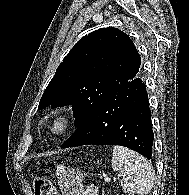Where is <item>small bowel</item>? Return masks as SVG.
Instances as JSON below:
<instances>
[{
	"label": "small bowel",
	"mask_w": 189,
	"mask_h": 195,
	"mask_svg": "<svg viewBox=\"0 0 189 195\" xmlns=\"http://www.w3.org/2000/svg\"><path fill=\"white\" fill-rule=\"evenodd\" d=\"M85 195H99V191L95 186H89L85 190Z\"/></svg>",
	"instance_id": "1"
}]
</instances>
